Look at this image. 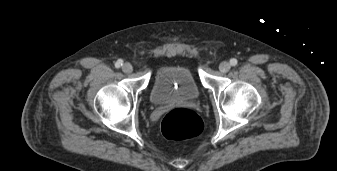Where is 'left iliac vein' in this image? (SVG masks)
Listing matches in <instances>:
<instances>
[{"label": "left iliac vein", "instance_id": "1", "mask_svg": "<svg viewBox=\"0 0 337 171\" xmlns=\"http://www.w3.org/2000/svg\"><path fill=\"white\" fill-rule=\"evenodd\" d=\"M231 66L228 62L224 61L222 63H220L219 65V70L222 72V73H226L230 70Z\"/></svg>", "mask_w": 337, "mask_h": 171}]
</instances>
